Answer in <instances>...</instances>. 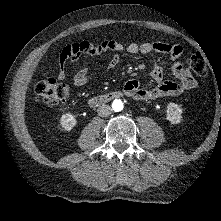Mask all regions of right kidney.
Segmentation results:
<instances>
[{
  "label": "right kidney",
  "instance_id": "obj_1",
  "mask_svg": "<svg viewBox=\"0 0 221 221\" xmlns=\"http://www.w3.org/2000/svg\"><path fill=\"white\" fill-rule=\"evenodd\" d=\"M76 118L72 113H66L61 116L60 125L66 131L72 130L76 126Z\"/></svg>",
  "mask_w": 221,
  "mask_h": 221
}]
</instances>
